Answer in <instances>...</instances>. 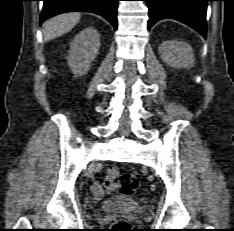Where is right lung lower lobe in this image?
<instances>
[{
	"instance_id": "98d812e1",
	"label": "right lung lower lobe",
	"mask_w": 234,
	"mask_h": 231,
	"mask_svg": "<svg viewBox=\"0 0 234 231\" xmlns=\"http://www.w3.org/2000/svg\"><path fill=\"white\" fill-rule=\"evenodd\" d=\"M44 6L40 16V24L57 14L70 11L93 12L108 20L117 29L118 0H43Z\"/></svg>"
}]
</instances>
